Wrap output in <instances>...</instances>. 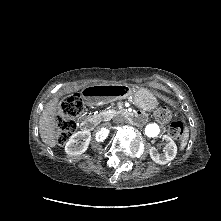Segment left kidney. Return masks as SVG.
<instances>
[{"label": "left kidney", "mask_w": 221, "mask_h": 221, "mask_svg": "<svg viewBox=\"0 0 221 221\" xmlns=\"http://www.w3.org/2000/svg\"><path fill=\"white\" fill-rule=\"evenodd\" d=\"M163 140L165 142L166 150L163 154H160L155 147H151L150 149V157L151 159L160 165H165L172 161L177 154V146L175 142L167 135L163 136Z\"/></svg>", "instance_id": "obj_1"}]
</instances>
